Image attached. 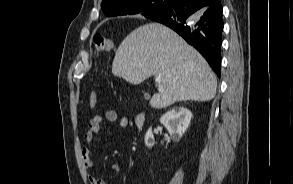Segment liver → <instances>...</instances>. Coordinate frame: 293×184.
<instances>
[{
	"label": "liver",
	"instance_id": "liver-1",
	"mask_svg": "<svg viewBox=\"0 0 293 184\" xmlns=\"http://www.w3.org/2000/svg\"><path fill=\"white\" fill-rule=\"evenodd\" d=\"M112 73L135 85L160 76L163 91L158 88L150 100L156 109L179 101H209L217 89L216 76L201 54L160 23L142 25L121 42Z\"/></svg>",
	"mask_w": 293,
	"mask_h": 184
}]
</instances>
